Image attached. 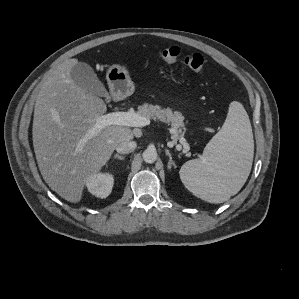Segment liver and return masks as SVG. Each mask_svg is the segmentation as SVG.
Wrapping results in <instances>:
<instances>
[{"label": "liver", "mask_w": 299, "mask_h": 299, "mask_svg": "<svg viewBox=\"0 0 299 299\" xmlns=\"http://www.w3.org/2000/svg\"><path fill=\"white\" fill-rule=\"evenodd\" d=\"M77 63V59L65 60L43 83L32 129L34 152L44 181L72 203L82 199L87 180L108 162L116 146L133 139L129 127L109 125L76 151L96 120L107 111L101 98L72 81L71 69Z\"/></svg>", "instance_id": "6515ba94"}]
</instances>
